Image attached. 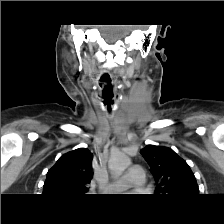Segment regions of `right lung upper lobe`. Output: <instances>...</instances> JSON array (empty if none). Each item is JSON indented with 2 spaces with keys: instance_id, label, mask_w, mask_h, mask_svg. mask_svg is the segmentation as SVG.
<instances>
[{
  "instance_id": "cb5924a9",
  "label": "right lung upper lobe",
  "mask_w": 224,
  "mask_h": 224,
  "mask_svg": "<svg viewBox=\"0 0 224 224\" xmlns=\"http://www.w3.org/2000/svg\"><path fill=\"white\" fill-rule=\"evenodd\" d=\"M93 154L87 148H79L62 155L47 172L44 182L45 195H84L93 177Z\"/></svg>"
}]
</instances>
